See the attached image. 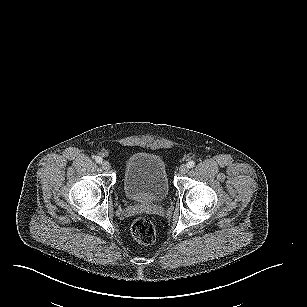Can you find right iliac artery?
<instances>
[{
    "instance_id": "1",
    "label": "right iliac artery",
    "mask_w": 307,
    "mask_h": 307,
    "mask_svg": "<svg viewBox=\"0 0 307 307\" xmlns=\"http://www.w3.org/2000/svg\"><path fill=\"white\" fill-rule=\"evenodd\" d=\"M95 161L100 164V163H102L103 159L99 156H96Z\"/></svg>"
}]
</instances>
